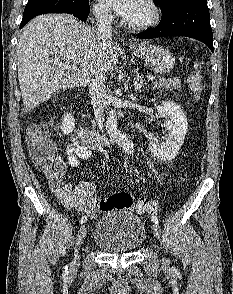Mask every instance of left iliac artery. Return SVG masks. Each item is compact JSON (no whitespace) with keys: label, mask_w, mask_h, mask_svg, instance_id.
<instances>
[{"label":"left iliac artery","mask_w":233,"mask_h":294,"mask_svg":"<svg viewBox=\"0 0 233 294\" xmlns=\"http://www.w3.org/2000/svg\"><path fill=\"white\" fill-rule=\"evenodd\" d=\"M151 220L155 223V224H158L159 223V219L157 216H152L151 217Z\"/></svg>","instance_id":"left-iliac-artery-1"}]
</instances>
